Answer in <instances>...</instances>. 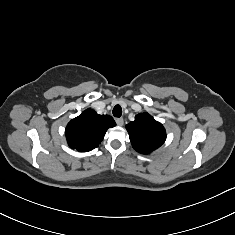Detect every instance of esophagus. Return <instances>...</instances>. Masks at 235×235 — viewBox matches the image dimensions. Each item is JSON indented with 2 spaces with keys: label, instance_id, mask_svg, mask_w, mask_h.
<instances>
[{
  "label": "esophagus",
  "instance_id": "obj_1",
  "mask_svg": "<svg viewBox=\"0 0 235 235\" xmlns=\"http://www.w3.org/2000/svg\"><path fill=\"white\" fill-rule=\"evenodd\" d=\"M116 123H117L118 126H123V124H124L123 118H117Z\"/></svg>",
  "mask_w": 235,
  "mask_h": 235
}]
</instances>
